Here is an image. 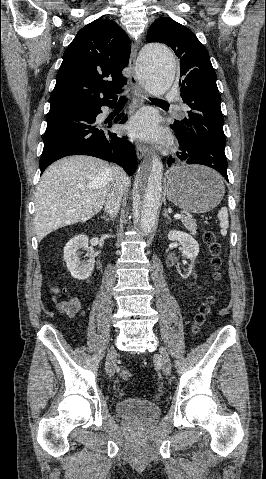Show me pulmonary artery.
<instances>
[{"label":"pulmonary artery","mask_w":266,"mask_h":479,"mask_svg":"<svg viewBox=\"0 0 266 479\" xmlns=\"http://www.w3.org/2000/svg\"><path fill=\"white\" fill-rule=\"evenodd\" d=\"M178 96V91L177 89L174 88H168L164 93L163 97L165 100H174ZM185 109V107H183Z\"/></svg>","instance_id":"e3ab8cb5"}]
</instances>
